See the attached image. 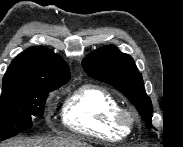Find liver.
Returning <instances> with one entry per match:
<instances>
[{
    "label": "liver",
    "mask_w": 183,
    "mask_h": 147,
    "mask_svg": "<svg viewBox=\"0 0 183 147\" xmlns=\"http://www.w3.org/2000/svg\"><path fill=\"white\" fill-rule=\"evenodd\" d=\"M3 147H92L76 137L18 139L9 141Z\"/></svg>",
    "instance_id": "liver-1"
}]
</instances>
